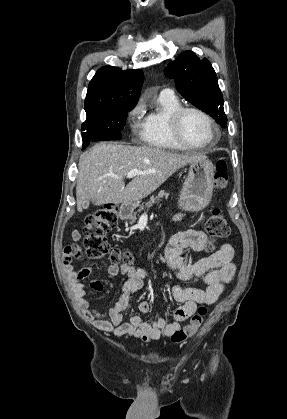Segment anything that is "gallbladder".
<instances>
[{"label":"gallbladder","instance_id":"bac80fb5","mask_svg":"<svg viewBox=\"0 0 287 419\" xmlns=\"http://www.w3.org/2000/svg\"><path fill=\"white\" fill-rule=\"evenodd\" d=\"M89 201H85L83 204H82V209L83 210H86V209H88V207H89Z\"/></svg>","mask_w":287,"mask_h":419}]
</instances>
